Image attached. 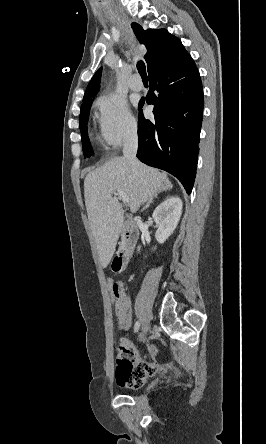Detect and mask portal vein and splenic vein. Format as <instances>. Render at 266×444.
Returning <instances> with one entry per match:
<instances>
[{
    "mask_svg": "<svg viewBox=\"0 0 266 444\" xmlns=\"http://www.w3.org/2000/svg\"><path fill=\"white\" fill-rule=\"evenodd\" d=\"M116 192H117L116 195H118V197H119L120 199H122L123 203H125V204H128V203H129L130 198H129V196H128L124 191H122V190H117Z\"/></svg>",
    "mask_w": 266,
    "mask_h": 444,
    "instance_id": "portal-vein-and-splenic-vein-1",
    "label": "portal vein and splenic vein"
}]
</instances>
